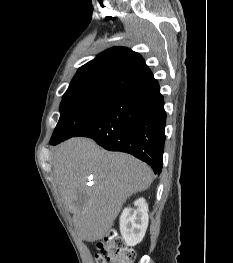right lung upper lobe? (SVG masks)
I'll return each mask as SVG.
<instances>
[{
	"mask_svg": "<svg viewBox=\"0 0 233 263\" xmlns=\"http://www.w3.org/2000/svg\"><path fill=\"white\" fill-rule=\"evenodd\" d=\"M153 78L143 58L124 47H114L83 65L64 95L78 93L120 94Z\"/></svg>",
	"mask_w": 233,
	"mask_h": 263,
	"instance_id": "obj_1",
	"label": "right lung upper lobe"
}]
</instances>
